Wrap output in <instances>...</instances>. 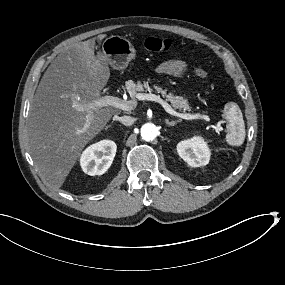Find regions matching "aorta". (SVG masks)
I'll return each instance as SVG.
<instances>
[{
	"label": "aorta",
	"instance_id": "1",
	"mask_svg": "<svg viewBox=\"0 0 285 285\" xmlns=\"http://www.w3.org/2000/svg\"><path fill=\"white\" fill-rule=\"evenodd\" d=\"M158 135L157 127L152 123H146L141 127V137L145 141H152Z\"/></svg>",
	"mask_w": 285,
	"mask_h": 285
}]
</instances>
